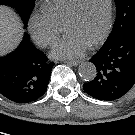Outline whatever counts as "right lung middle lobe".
Returning <instances> with one entry per match:
<instances>
[{"label":"right lung middle lobe","mask_w":135,"mask_h":135,"mask_svg":"<svg viewBox=\"0 0 135 135\" xmlns=\"http://www.w3.org/2000/svg\"><path fill=\"white\" fill-rule=\"evenodd\" d=\"M35 0H0V4H7L15 8L20 15L25 28L33 10Z\"/></svg>","instance_id":"dd1d6c3e"}]
</instances>
